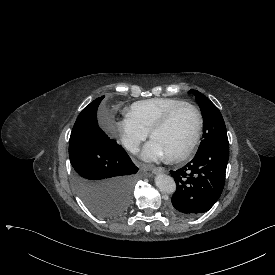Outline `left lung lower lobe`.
Returning <instances> with one entry per match:
<instances>
[{
	"label": "left lung lower lobe",
	"mask_w": 275,
	"mask_h": 275,
	"mask_svg": "<svg viewBox=\"0 0 275 275\" xmlns=\"http://www.w3.org/2000/svg\"><path fill=\"white\" fill-rule=\"evenodd\" d=\"M228 159L229 144H215L197 152L181 169L170 171L177 186L171 210L183 216L208 211L223 191Z\"/></svg>",
	"instance_id": "1"
}]
</instances>
